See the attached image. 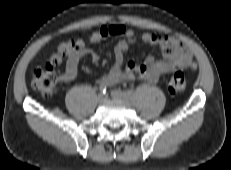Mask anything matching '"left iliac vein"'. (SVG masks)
Wrapping results in <instances>:
<instances>
[{
    "instance_id": "1",
    "label": "left iliac vein",
    "mask_w": 231,
    "mask_h": 170,
    "mask_svg": "<svg viewBox=\"0 0 231 170\" xmlns=\"http://www.w3.org/2000/svg\"><path fill=\"white\" fill-rule=\"evenodd\" d=\"M111 97L117 100H122L127 98L126 95L120 90H112L110 93Z\"/></svg>"
}]
</instances>
